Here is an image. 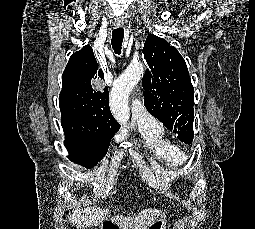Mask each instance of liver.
I'll return each mask as SVG.
<instances>
[{"mask_svg": "<svg viewBox=\"0 0 255 229\" xmlns=\"http://www.w3.org/2000/svg\"><path fill=\"white\" fill-rule=\"evenodd\" d=\"M108 211L109 207L104 209L97 206L79 208L77 205L68 219L76 229L91 228L107 220ZM164 216V213L156 208H146L134 216L115 215L111 221L122 229H146L155 220L164 218Z\"/></svg>", "mask_w": 255, "mask_h": 229, "instance_id": "1", "label": "liver"}]
</instances>
